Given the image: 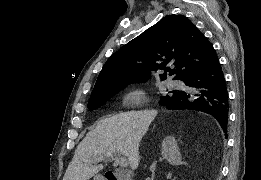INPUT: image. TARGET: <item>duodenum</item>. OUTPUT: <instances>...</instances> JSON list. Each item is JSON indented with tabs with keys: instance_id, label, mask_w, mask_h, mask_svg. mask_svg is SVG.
<instances>
[{
	"instance_id": "1",
	"label": "duodenum",
	"mask_w": 261,
	"mask_h": 180,
	"mask_svg": "<svg viewBox=\"0 0 261 180\" xmlns=\"http://www.w3.org/2000/svg\"><path fill=\"white\" fill-rule=\"evenodd\" d=\"M104 180H126V178L121 177V173H106Z\"/></svg>"
}]
</instances>
